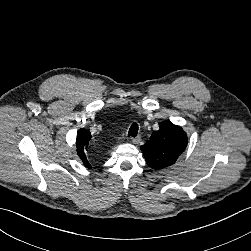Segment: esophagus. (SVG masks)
I'll return each mask as SVG.
<instances>
[{"label": "esophagus", "mask_w": 251, "mask_h": 251, "mask_svg": "<svg viewBox=\"0 0 251 251\" xmlns=\"http://www.w3.org/2000/svg\"><path fill=\"white\" fill-rule=\"evenodd\" d=\"M132 142L133 144H138L140 142V137L137 136V137L132 138Z\"/></svg>", "instance_id": "obj_1"}]
</instances>
